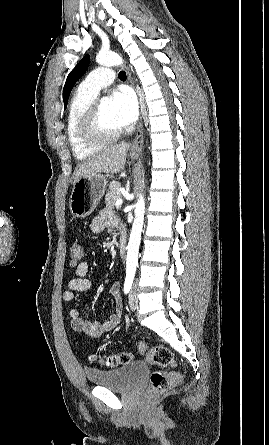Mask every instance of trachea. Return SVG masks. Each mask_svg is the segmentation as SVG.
<instances>
[{
	"instance_id": "1",
	"label": "trachea",
	"mask_w": 269,
	"mask_h": 445,
	"mask_svg": "<svg viewBox=\"0 0 269 445\" xmlns=\"http://www.w3.org/2000/svg\"><path fill=\"white\" fill-rule=\"evenodd\" d=\"M118 77L120 80H125L127 78L125 71H120Z\"/></svg>"
}]
</instances>
